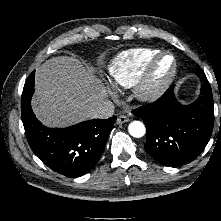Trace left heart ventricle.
<instances>
[{
  "label": "left heart ventricle",
  "instance_id": "obj_1",
  "mask_svg": "<svg viewBox=\"0 0 221 221\" xmlns=\"http://www.w3.org/2000/svg\"><path fill=\"white\" fill-rule=\"evenodd\" d=\"M171 65L172 61L169 57H165L164 59H162L157 67L155 80L160 81L165 78L171 69Z\"/></svg>",
  "mask_w": 221,
  "mask_h": 221
}]
</instances>
